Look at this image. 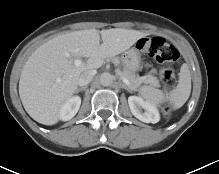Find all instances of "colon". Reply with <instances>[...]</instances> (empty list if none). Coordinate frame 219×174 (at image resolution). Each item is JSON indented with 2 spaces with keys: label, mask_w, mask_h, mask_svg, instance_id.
Here are the masks:
<instances>
[{
  "label": "colon",
  "mask_w": 219,
  "mask_h": 174,
  "mask_svg": "<svg viewBox=\"0 0 219 174\" xmlns=\"http://www.w3.org/2000/svg\"><path fill=\"white\" fill-rule=\"evenodd\" d=\"M138 48L156 62L162 65L160 76L166 92L173 90L178 67L179 52L171 44L161 37L144 38L138 42ZM174 112L172 106L165 107V115L170 117Z\"/></svg>",
  "instance_id": "1"
}]
</instances>
